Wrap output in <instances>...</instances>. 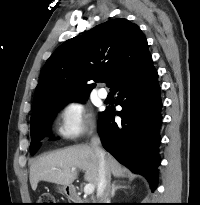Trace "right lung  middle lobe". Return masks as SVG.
<instances>
[{"instance_id":"dd1d6c3e","label":"right lung middle lobe","mask_w":200,"mask_h":205,"mask_svg":"<svg viewBox=\"0 0 200 205\" xmlns=\"http://www.w3.org/2000/svg\"><path fill=\"white\" fill-rule=\"evenodd\" d=\"M86 97L77 98H65L46 102L40 109V112L32 119H30V131H31V154H35L40 147L39 141L49 135V127L51 120L53 119L57 108L56 105L60 106L68 101L83 102Z\"/></svg>"}]
</instances>
